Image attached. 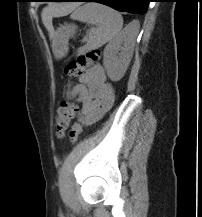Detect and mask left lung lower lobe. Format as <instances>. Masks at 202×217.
I'll return each mask as SVG.
<instances>
[{
	"mask_svg": "<svg viewBox=\"0 0 202 217\" xmlns=\"http://www.w3.org/2000/svg\"><path fill=\"white\" fill-rule=\"evenodd\" d=\"M56 2H98L118 11L134 14H144L151 0H54Z\"/></svg>",
	"mask_w": 202,
	"mask_h": 217,
	"instance_id": "obj_1",
	"label": "left lung lower lobe"
}]
</instances>
